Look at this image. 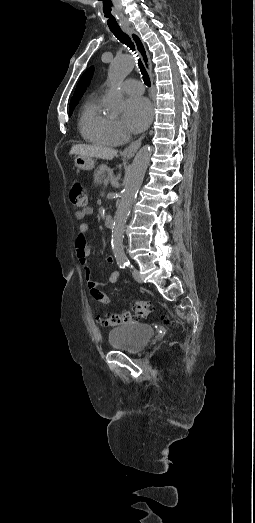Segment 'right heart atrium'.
Wrapping results in <instances>:
<instances>
[{
    "label": "right heart atrium",
    "mask_w": 255,
    "mask_h": 523,
    "mask_svg": "<svg viewBox=\"0 0 255 523\" xmlns=\"http://www.w3.org/2000/svg\"><path fill=\"white\" fill-rule=\"evenodd\" d=\"M115 125H116V128H117L118 131H120V132L123 131V127H122V125H121V123L119 121H116Z\"/></svg>",
    "instance_id": "1"
}]
</instances>
